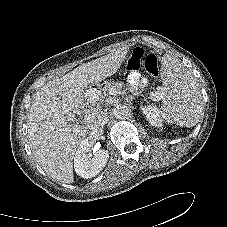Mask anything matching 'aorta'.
<instances>
[{
  "mask_svg": "<svg viewBox=\"0 0 227 227\" xmlns=\"http://www.w3.org/2000/svg\"><path fill=\"white\" fill-rule=\"evenodd\" d=\"M129 114H130V109L125 105L119 104L113 108V115L117 119H126L129 116Z\"/></svg>",
  "mask_w": 227,
  "mask_h": 227,
  "instance_id": "762f6f07",
  "label": "aorta"
}]
</instances>
